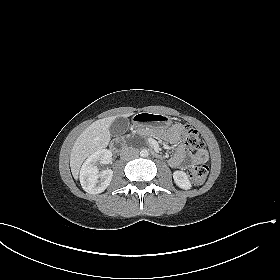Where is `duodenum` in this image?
Returning a JSON list of instances; mask_svg holds the SVG:
<instances>
[{"label":"duodenum","instance_id":"obj_1","mask_svg":"<svg viewBox=\"0 0 280 280\" xmlns=\"http://www.w3.org/2000/svg\"><path fill=\"white\" fill-rule=\"evenodd\" d=\"M124 148H125V145L120 140H117L112 144V149L114 151H118V150H121V149H124ZM156 156H158V154H156Z\"/></svg>","mask_w":280,"mask_h":280}]
</instances>
